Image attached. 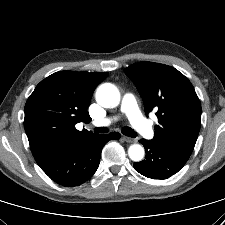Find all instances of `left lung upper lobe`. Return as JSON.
<instances>
[{
  "instance_id": "1",
  "label": "left lung upper lobe",
  "mask_w": 225,
  "mask_h": 225,
  "mask_svg": "<svg viewBox=\"0 0 225 225\" xmlns=\"http://www.w3.org/2000/svg\"><path fill=\"white\" fill-rule=\"evenodd\" d=\"M125 74L135 83L146 115L156 112L153 141L190 156L201 125V105L191 82L175 68L153 62L135 63Z\"/></svg>"
}]
</instances>
